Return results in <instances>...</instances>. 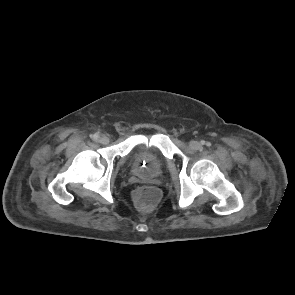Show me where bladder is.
Returning <instances> with one entry per match:
<instances>
[{
    "label": "bladder",
    "mask_w": 295,
    "mask_h": 295,
    "mask_svg": "<svg viewBox=\"0 0 295 295\" xmlns=\"http://www.w3.org/2000/svg\"><path fill=\"white\" fill-rule=\"evenodd\" d=\"M132 172L143 180L159 177L164 170L165 159L149 149L138 148L130 155Z\"/></svg>",
    "instance_id": "bladder-1"
}]
</instances>
